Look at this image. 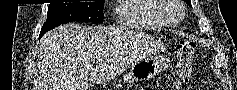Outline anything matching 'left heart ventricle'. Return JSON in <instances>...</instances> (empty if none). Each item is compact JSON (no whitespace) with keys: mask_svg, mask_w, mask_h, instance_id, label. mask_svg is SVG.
Masks as SVG:
<instances>
[{"mask_svg":"<svg viewBox=\"0 0 237 90\" xmlns=\"http://www.w3.org/2000/svg\"><path fill=\"white\" fill-rule=\"evenodd\" d=\"M169 20L172 21V22L176 21V19H169Z\"/></svg>","mask_w":237,"mask_h":90,"instance_id":"b2bd125f","label":"left heart ventricle"}]
</instances>
